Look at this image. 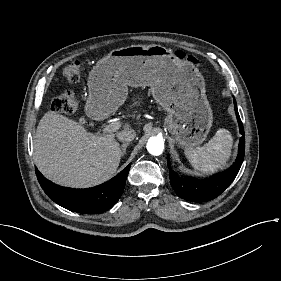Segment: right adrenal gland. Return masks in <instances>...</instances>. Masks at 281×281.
<instances>
[{
	"label": "right adrenal gland",
	"instance_id": "1",
	"mask_svg": "<svg viewBox=\"0 0 281 281\" xmlns=\"http://www.w3.org/2000/svg\"><path fill=\"white\" fill-rule=\"evenodd\" d=\"M128 145H129V143L126 142V143H123V144L120 146V157H123V156H124Z\"/></svg>",
	"mask_w": 281,
	"mask_h": 281
}]
</instances>
